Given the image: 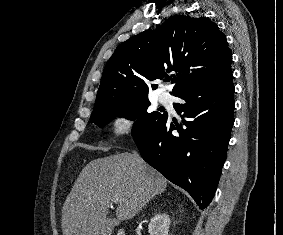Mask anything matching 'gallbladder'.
Wrapping results in <instances>:
<instances>
[{
    "label": "gallbladder",
    "mask_w": 283,
    "mask_h": 235,
    "mask_svg": "<svg viewBox=\"0 0 283 235\" xmlns=\"http://www.w3.org/2000/svg\"><path fill=\"white\" fill-rule=\"evenodd\" d=\"M107 219H108V221H111V220H112L111 218H107ZM117 223H118V222L114 220V221L112 222L111 226H110V229L113 230L114 226L117 225Z\"/></svg>",
    "instance_id": "gallbladder-1"
}]
</instances>
